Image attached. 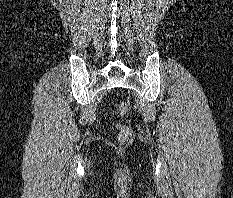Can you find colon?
Wrapping results in <instances>:
<instances>
[{"instance_id":"1","label":"colon","mask_w":233,"mask_h":198,"mask_svg":"<svg viewBox=\"0 0 233 198\" xmlns=\"http://www.w3.org/2000/svg\"><path fill=\"white\" fill-rule=\"evenodd\" d=\"M129 106L126 102H120L117 104L114 114L116 117L120 118L127 114ZM117 137L120 142L127 141L132 135V129L130 126L118 123L116 124Z\"/></svg>"}]
</instances>
